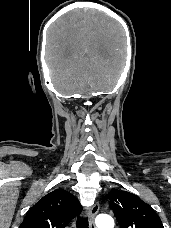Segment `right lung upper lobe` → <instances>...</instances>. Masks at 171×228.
<instances>
[{
	"label": "right lung upper lobe",
	"instance_id": "obj_1",
	"mask_svg": "<svg viewBox=\"0 0 171 228\" xmlns=\"http://www.w3.org/2000/svg\"><path fill=\"white\" fill-rule=\"evenodd\" d=\"M81 210L82 206L71 193L54 190L28 211L19 228H65Z\"/></svg>",
	"mask_w": 171,
	"mask_h": 228
}]
</instances>
